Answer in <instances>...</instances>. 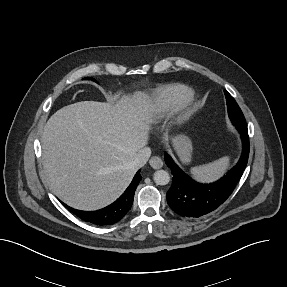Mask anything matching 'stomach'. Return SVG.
I'll list each match as a JSON object with an SVG mask.
<instances>
[{
	"instance_id": "0dacf381",
	"label": "stomach",
	"mask_w": 287,
	"mask_h": 287,
	"mask_svg": "<svg viewBox=\"0 0 287 287\" xmlns=\"http://www.w3.org/2000/svg\"><path fill=\"white\" fill-rule=\"evenodd\" d=\"M173 145L181 161L183 163H188L192 152L191 140L184 135H179L173 139Z\"/></svg>"
}]
</instances>
